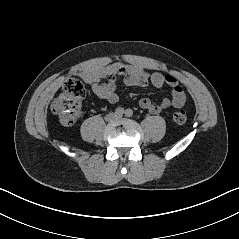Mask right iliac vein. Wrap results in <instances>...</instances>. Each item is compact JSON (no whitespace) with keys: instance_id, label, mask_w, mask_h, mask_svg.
Instances as JSON below:
<instances>
[{"instance_id":"1","label":"right iliac vein","mask_w":239,"mask_h":239,"mask_svg":"<svg viewBox=\"0 0 239 239\" xmlns=\"http://www.w3.org/2000/svg\"><path fill=\"white\" fill-rule=\"evenodd\" d=\"M114 117H115V115L111 114V115L108 116V119L111 120V119H113Z\"/></svg>"}]
</instances>
